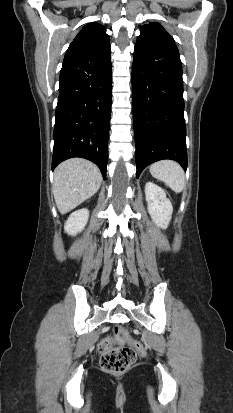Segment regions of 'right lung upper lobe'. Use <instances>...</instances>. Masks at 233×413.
<instances>
[{"label":"right lung upper lobe","instance_id":"cb5924a9","mask_svg":"<svg viewBox=\"0 0 233 413\" xmlns=\"http://www.w3.org/2000/svg\"><path fill=\"white\" fill-rule=\"evenodd\" d=\"M109 44L106 29L99 23H90L83 27L70 44L65 58L88 54Z\"/></svg>","mask_w":233,"mask_h":413}]
</instances>
